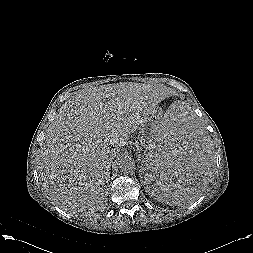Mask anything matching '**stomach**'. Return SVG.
Returning <instances> with one entry per match:
<instances>
[{"instance_id":"stomach-1","label":"stomach","mask_w":253,"mask_h":253,"mask_svg":"<svg viewBox=\"0 0 253 253\" xmlns=\"http://www.w3.org/2000/svg\"><path fill=\"white\" fill-rule=\"evenodd\" d=\"M162 116H163L162 111H160L157 108L154 112L150 113L147 116V118L144 120V122L140 126L139 142L142 147L148 149V147L150 146V143L153 140L155 130Z\"/></svg>"}]
</instances>
